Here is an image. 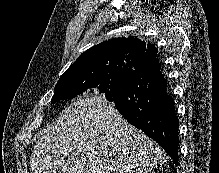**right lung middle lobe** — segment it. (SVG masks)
Here are the masks:
<instances>
[{
	"instance_id": "dd1d6c3e",
	"label": "right lung middle lobe",
	"mask_w": 219,
	"mask_h": 173,
	"mask_svg": "<svg viewBox=\"0 0 219 173\" xmlns=\"http://www.w3.org/2000/svg\"><path fill=\"white\" fill-rule=\"evenodd\" d=\"M133 70L129 64L111 62L103 66L67 72L56 84L51 102L74 98L85 91L104 95L109 93L123 76Z\"/></svg>"
}]
</instances>
